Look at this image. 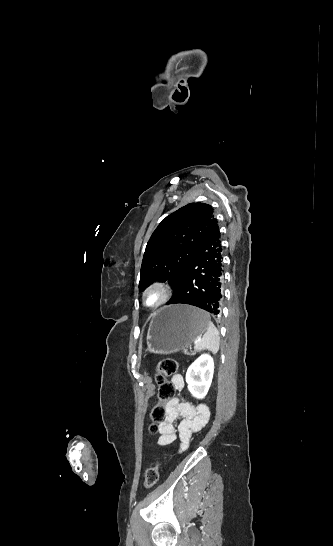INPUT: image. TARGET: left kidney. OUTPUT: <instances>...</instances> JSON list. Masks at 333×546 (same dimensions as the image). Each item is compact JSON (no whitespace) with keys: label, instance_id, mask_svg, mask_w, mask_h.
Here are the masks:
<instances>
[{"label":"left kidney","instance_id":"obj_1","mask_svg":"<svg viewBox=\"0 0 333 546\" xmlns=\"http://www.w3.org/2000/svg\"><path fill=\"white\" fill-rule=\"evenodd\" d=\"M214 372L211 355L202 354L188 368L186 382L188 390L196 398H204L209 390Z\"/></svg>","mask_w":333,"mask_h":546}]
</instances>
